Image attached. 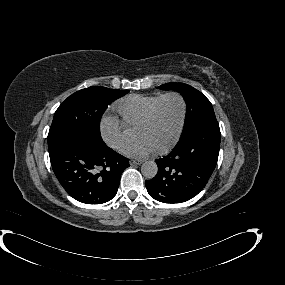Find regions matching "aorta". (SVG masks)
Returning a JSON list of instances; mask_svg holds the SVG:
<instances>
[{
	"label": "aorta",
	"instance_id": "obj_1",
	"mask_svg": "<svg viewBox=\"0 0 285 285\" xmlns=\"http://www.w3.org/2000/svg\"><path fill=\"white\" fill-rule=\"evenodd\" d=\"M158 167L154 161H146L141 166V173L144 177L152 179L157 175Z\"/></svg>",
	"mask_w": 285,
	"mask_h": 285
}]
</instances>
